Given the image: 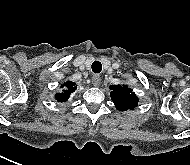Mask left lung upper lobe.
I'll use <instances>...</instances> for the list:
<instances>
[{
	"instance_id": "1",
	"label": "left lung upper lobe",
	"mask_w": 190,
	"mask_h": 165,
	"mask_svg": "<svg viewBox=\"0 0 190 165\" xmlns=\"http://www.w3.org/2000/svg\"><path fill=\"white\" fill-rule=\"evenodd\" d=\"M110 95L119 111L132 110L138 105V97L126 85H111Z\"/></svg>"
}]
</instances>
